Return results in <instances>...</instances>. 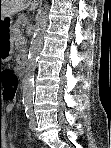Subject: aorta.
<instances>
[{
  "label": "aorta",
  "instance_id": "762f6f07",
  "mask_svg": "<svg viewBox=\"0 0 111 148\" xmlns=\"http://www.w3.org/2000/svg\"><path fill=\"white\" fill-rule=\"evenodd\" d=\"M48 25L47 9L42 8L36 18L31 46L28 53V65L23 81V102L31 104L34 100V70L38 60L39 53L42 49L44 33Z\"/></svg>",
  "mask_w": 111,
  "mask_h": 148
}]
</instances>
